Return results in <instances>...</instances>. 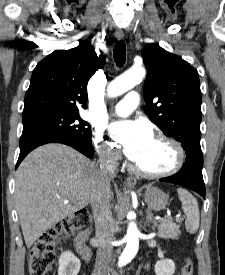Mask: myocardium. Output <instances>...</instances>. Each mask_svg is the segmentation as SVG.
Instances as JSON below:
<instances>
[{"instance_id": "myocardium-1", "label": "myocardium", "mask_w": 225, "mask_h": 275, "mask_svg": "<svg viewBox=\"0 0 225 275\" xmlns=\"http://www.w3.org/2000/svg\"><path fill=\"white\" fill-rule=\"evenodd\" d=\"M153 138L162 140L166 142L173 150L174 152V162L172 166L164 171L160 172H147L142 170L138 165L135 163L134 164V171L137 175L147 178V179H158V178H164L171 176L175 173H177L183 166L184 160H185V153L182 145L175 140L174 138L163 134V133H158L156 134Z\"/></svg>"}]
</instances>
